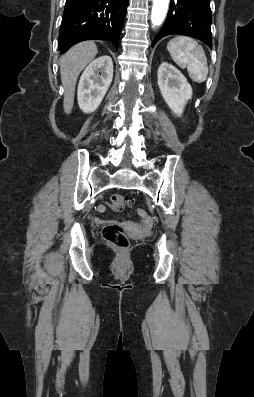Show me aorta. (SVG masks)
Masks as SVG:
<instances>
[{
	"label": "aorta",
	"mask_w": 254,
	"mask_h": 397,
	"mask_svg": "<svg viewBox=\"0 0 254 397\" xmlns=\"http://www.w3.org/2000/svg\"><path fill=\"white\" fill-rule=\"evenodd\" d=\"M168 4L169 0H153L151 13V21L153 26L161 25L167 14Z\"/></svg>",
	"instance_id": "1"
}]
</instances>
